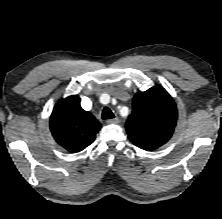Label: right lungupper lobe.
<instances>
[{
    "label": "right lung upper lobe",
    "mask_w": 222,
    "mask_h": 219,
    "mask_svg": "<svg viewBox=\"0 0 222 219\" xmlns=\"http://www.w3.org/2000/svg\"><path fill=\"white\" fill-rule=\"evenodd\" d=\"M101 124L80 106L76 95L60 100L50 117V130L56 142L69 152L82 151L95 139Z\"/></svg>",
    "instance_id": "1"
}]
</instances>
